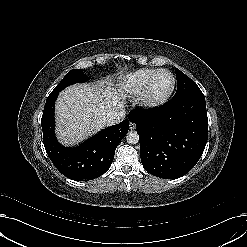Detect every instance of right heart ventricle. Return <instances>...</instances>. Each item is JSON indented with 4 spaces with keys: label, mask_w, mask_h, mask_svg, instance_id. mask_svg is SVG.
Returning <instances> with one entry per match:
<instances>
[{
    "label": "right heart ventricle",
    "mask_w": 247,
    "mask_h": 247,
    "mask_svg": "<svg viewBox=\"0 0 247 247\" xmlns=\"http://www.w3.org/2000/svg\"><path fill=\"white\" fill-rule=\"evenodd\" d=\"M157 69L142 68L126 74L120 82L121 92L128 97H138Z\"/></svg>",
    "instance_id": "1"
}]
</instances>
